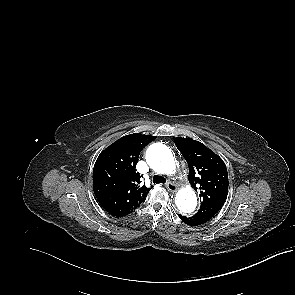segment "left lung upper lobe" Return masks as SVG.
<instances>
[{"label":"left lung upper lobe","mask_w":295,"mask_h":295,"mask_svg":"<svg viewBox=\"0 0 295 295\" xmlns=\"http://www.w3.org/2000/svg\"><path fill=\"white\" fill-rule=\"evenodd\" d=\"M175 145L189 166L191 186L200 191L198 213L217 214L227 198L228 173L223 160L201 142L190 138L175 139Z\"/></svg>","instance_id":"1"}]
</instances>
